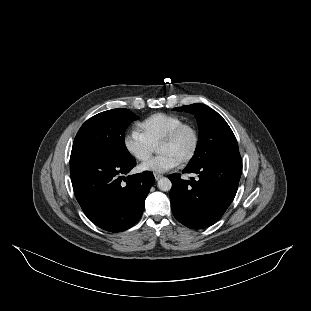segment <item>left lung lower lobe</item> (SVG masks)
I'll list each match as a JSON object with an SVG mask.
<instances>
[{
    "mask_svg": "<svg viewBox=\"0 0 311 311\" xmlns=\"http://www.w3.org/2000/svg\"><path fill=\"white\" fill-rule=\"evenodd\" d=\"M183 173L198 174L196 181L182 180L179 174L169 175V193L175 218L191 229H203L217 222L233 201L242 173L240 154H229Z\"/></svg>",
    "mask_w": 311,
    "mask_h": 311,
    "instance_id": "1",
    "label": "left lung lower lobe"
}]
</instances>
